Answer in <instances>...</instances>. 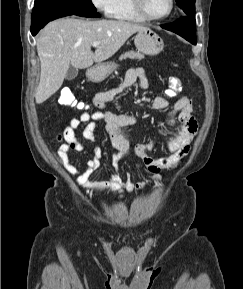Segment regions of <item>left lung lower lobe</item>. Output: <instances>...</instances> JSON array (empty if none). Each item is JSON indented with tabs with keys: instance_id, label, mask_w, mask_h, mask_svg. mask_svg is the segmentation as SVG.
I'll use <instances>...</instances> for the list:
<instances>
[{
	"instance_id": "1",
	"label": "left lung lower lobe",
	"mask_w": 243,
	"mask_h": 289,
	"mask_svg": "<svg viewBox=\"0 0 243 289\" xmlns=\"http://www.w3.org/2000/svg\"><path fill=\"white\" fill-rule=\"evenodd\" d=\"M161 27L166 30L175 32L194 45L196 44L195 19L193 15H188L187 17L179 19L170 24L161 25Z\"/></svg>"
}]
</instances>
